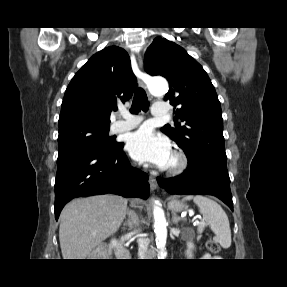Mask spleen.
Here are the masks:
<instances>
[{
  "instance_id": "3e777b00",
  "label": "spleen",
  "mask_w": 287,
  "mask_h": 287,
  "mask_svg": "<svg viewBox=\"0 0 287 287\" xmlns=\"http://www.w3.org/2000/svg\"><path fill=\"white\" fill-rule=\"evenodd\" d=\"M183 200H193L198 206L204 221L210 225L219 244L227 249L231 246V229L228 216L214 200L202 195H188Z\"/></svg>"
}]
</instances>
